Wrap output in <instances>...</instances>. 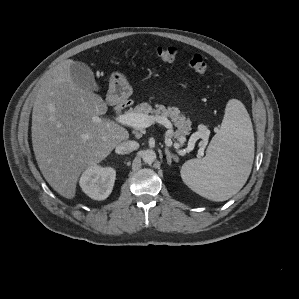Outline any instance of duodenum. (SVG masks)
<instances>
[{
    "instance_id": "1",
    "label": "duodenum",
    "mask_w": 299,
    "mask_h": 299,
    "mask_svg": "<svg viewBox=\"0 0 299 299\" xmlns=\"http://www.w3.org/2000/svg\"><path fill=\"white\" fill-rule=\"evenodd\" d=\"M126 106H127V102L126 101H120V102L116 103V107L118 109H123Z\"/></svg>"
}]
</instances>
